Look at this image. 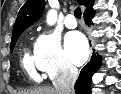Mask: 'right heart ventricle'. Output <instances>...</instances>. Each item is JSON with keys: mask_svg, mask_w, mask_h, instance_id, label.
<instances>
[{"mask_svg": "<svg viewBox=\"0 0 121 94\" xmlns=\"http://www.w3.org/2000/svg\"><path fill=\"white\" fill-rule=\"evenodd\" d=\"M21 65L25 74L34 82H39L41 79L40 74L36 70L32 56L25 51L21 58Z\"/></svg>", "mask_w": 121, "mask_h": 94, "instance_id": "right-heart-ventricle-1", "label": "right heart ventricle"}]
</instances>
